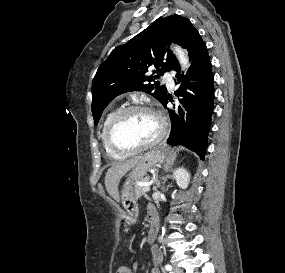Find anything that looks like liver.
Masks as SVG:
<instances>
[{"label": "liver", "mask_w": 285, "mask_h": 273, "mask_svg": "<svg viewBox=\"0 0 285 273\" xmlns=\"http://www.w3.org/2000/svg\"><path fill=\"white\" fill-rule=\"evenodd\" d=\"M142 156H136L125 162L114 163L107 171L105 176V187L109 195L116 201H119L118 184L122 176L133 168Z\"/></svg>", "instance_id": "1"}]
</instances>
